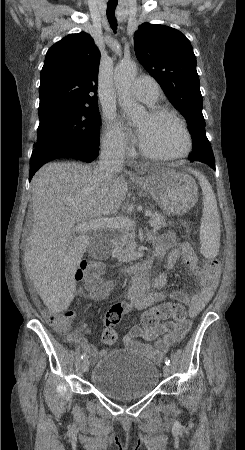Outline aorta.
Segmentation results:
<instances>
[{
    "mask_svg": "<svg viewBox=\"0 0 245 450\" xmlns=\"http://www.w3.org/2000/svg\"><path fill=\"white\" fill-rule=\"evenodd\" d=\"M137 74V66L132 61L120 62L114 71L115 85L120 95L123 109L131 119L132 123L142 120L146 114L145 109L140 106L129 94V87Z\"/></svg>",
    "mask_w": 245,
    "mask_h": 450,
    "instance_id": "762f6f07",
    "label": "aorta"
}]
</instances>
